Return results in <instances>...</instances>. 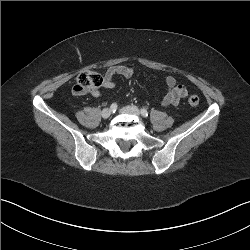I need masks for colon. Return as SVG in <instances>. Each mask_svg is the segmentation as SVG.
I'll return each instance as SVG.
<instances>
[{
    "mask_svg": "<svg viewBox=\"0 0 250 250\" xmlns=\"http://www.w3.org/2000/svg\"><path fill=\"white\" fill-rule=\"evenodd\" d=\"M102 82L103 79L98 73L93 71H84L77 76L73 87V93L76 95H83L88 92H92L100 87ZM199 101V97L196 95H191L188 99L189 104L192 106H197Z\"/></svg>",
    "mask_w": 250,
    "mask_h": 250,
    "instance_id": "1",
    "label": "colon"
}]
</instances>
